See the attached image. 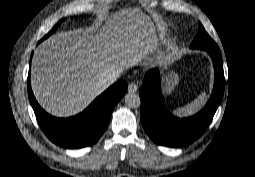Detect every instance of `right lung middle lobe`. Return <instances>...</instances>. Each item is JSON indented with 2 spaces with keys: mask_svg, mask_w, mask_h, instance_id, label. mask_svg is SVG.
I'll return each mask as SVG.
<instances>
[{
  "mask_svg": "<svg viewBox=\"0 0 255 177\" xmlns=\"http://www.w3.org/2000/svg\"><path fill=\"white\" fill-rule=\"evenodd\" d=\"M58 25H59V23L52 29V31H51L48 35H50V34L57 28ZM48 35H47V36H48ZM47 36H46V37H47Z\"/></svg>",
  "mask_w": 255,
  "mask_h": 177,
  "instance_id": "obj_1",
  "label": "right lung middle lobe"
}]
</instances>
